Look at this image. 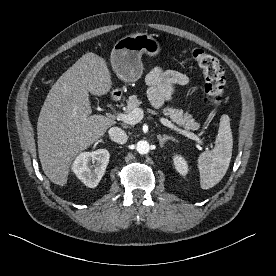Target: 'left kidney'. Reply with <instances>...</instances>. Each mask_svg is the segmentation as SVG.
Instances as JSON below:
<instances>
[{
    "label": "left kidney",
    "instance_id": "5707ae66",
    "mask_svg": "<svg viewBox=\"0 0 276 276\" xmlns=\"http://www.w3.org/2000/svg\"><path fill=\"white\" fill-rule=\"evenodd\" d=\"M174 165L176 170L181 174V175H186L188 173V165L186 160L184 159L183 156L176 154L173 157Z\"/></svg>",
    "mask_w": 276,
    "mask_h": 276
}]
</instances>
